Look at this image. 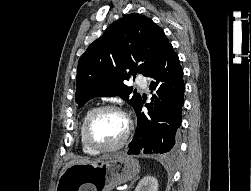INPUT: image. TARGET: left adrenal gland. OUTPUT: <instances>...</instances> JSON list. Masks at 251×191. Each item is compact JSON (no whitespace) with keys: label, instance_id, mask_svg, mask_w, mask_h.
<instances>
[{"label":"left adrenal gland","instance_id":"left-adrenal-gland-1","mask_svg":"<svg viewBox=\"0 0 251 191\" xmlns=\"http://www.w3.org/2000/svg\"><path fill=\"white\" fill-rule=\"evenodd\" d=\"M136 179H139V177H135V179H133V181H131L130 185H128L127 189H131L134 181H136Z\"/></svg>","mask_w":251,"mask_h":191}]
</instances>
